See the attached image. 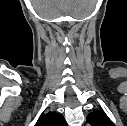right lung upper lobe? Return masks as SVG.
I'll return each instance as SVG.
<instances>
[{
  "label": "right lung upper lobe",
  "mask_w": 127,
  "mask_h": 126,
  "mask_svg": "<svg viewBox=\"0 0 127 126\" xmlns=\"http://www.w3.org/2000/svg\"><path fill=\"white\" fill-rule=\"evenodd\" d=\"M67 123L62 114L49 112L41 115L35 126H66Z\"/></svg>",
  "instance_id": "right-lung-upper-lobe-1"
}]
</instances>
